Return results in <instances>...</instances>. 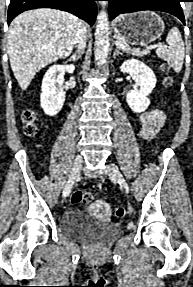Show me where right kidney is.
<instances>
[{
    "label": "right kidney",
    "mask_w": 193,
    "mask_h": 287,
    "mask_svg": "<svg viewBox=\"0 0 193 287\" xmlns=\"http://www.w3.org/2000/svg\"><path fill=\"white\" fill-rule=\"evenodd\" d=\"M75 66L70 64H57L51 66L45 73L42 86L40 103L45 114L55 116L62 109L65 101L63 82L65 73H73Z\"/></svg>",
    "instance_id": "obj_1"
}]
</instances>
